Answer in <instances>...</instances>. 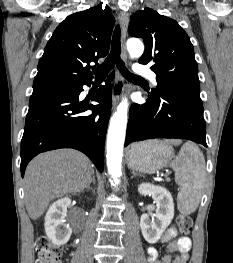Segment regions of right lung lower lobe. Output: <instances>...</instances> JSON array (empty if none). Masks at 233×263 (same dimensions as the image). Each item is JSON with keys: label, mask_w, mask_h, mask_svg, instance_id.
I'll use <instances>...</instances> for the list:
<instances>
[{"label": "right lung lower lobe", "mask_w": 233, "mask_h": 263, "mask_svg": "<svg viewBox=\"0 0 233 263\" xmlns=\"http://www.w3.org/2000/svg\"><path fill=\"white\" fill-rule=\"evenodd\" d=\"M113 76L112 73L96 93L94 101L99 105L78 101L84 84L30 97L21 140L22 177L34 156L58 148L82 151L103 171L104 143L112 106L109 82ZM87 110H92V114H83Z\"/></svg>", "instance_id": "right-lung-lower-lobe-1"}]
</instances>
